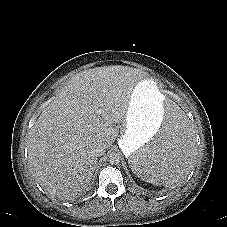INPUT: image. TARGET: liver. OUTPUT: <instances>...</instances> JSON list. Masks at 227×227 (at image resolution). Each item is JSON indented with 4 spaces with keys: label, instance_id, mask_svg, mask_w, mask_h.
<instances>
[{
    "label": "liver",
    "instance_id": "obj_1",
    "mask_svg": "<svg viewBox=\"0 0 227 227\" xmlns=\"http://www.w3.org/2000/svg\"><path fill=\"white\" fill-rule=\"evenodd\" d=\"M144 76L126 66L97 67L58 91L28 132L30 170L45 191L70 199L88 187L98 161L96 146H112Z\"/></svg>",
    "mask_w": 227,
    "mask_h": 227
}]
</instances>
